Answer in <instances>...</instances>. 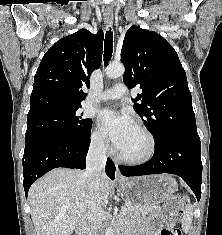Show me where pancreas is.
Listing matches in <instances>:
<instances>
[{
	"label": "pancreas",
	"instance_id": "pancreas-1",
	"mask_svg": "<svg viewBox=\"0 0 222 235\" xmlns=\"http://www.w3.org/2000/svg\"><path fill=\"white\" fill-rule=\"evenodd\" d=\"M161 208L159 206H153L145 209L136 208L130 204L127 205L126 215L130 221H136L140 219L142 216L148 213H158Z\"/></svg>",
	"mask_w": 222,
	"mask_h": 235
}]
</instances>
